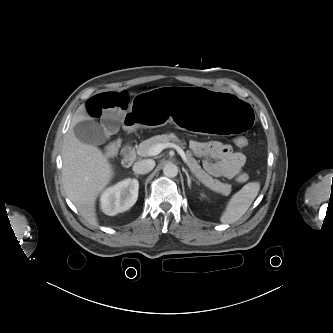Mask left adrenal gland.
Returning a JSON list of instances; mask_svg holds the SVG:
<instances>
[{
	"instance_id": "1",
	"label": "left adrenal gland",
	"mask_w": 333,
	"mask_h": 333,
	"mask_svg": "<svg viewBox=\"0 0 333 333\" xmlns=\"http://www.w3.org/2000/svg\"><path fill=\"white\" fill-rule=\"evenodd\" d=\"M183 171L185 172V174H186V176H187V183H188V187H189V188H191V183H192V181L195 182L196 184H199V182H198L196 179H194L193 177H190V176H189V173H188L187 170L183 169Z\"/></svg>"
}]
</instances>
